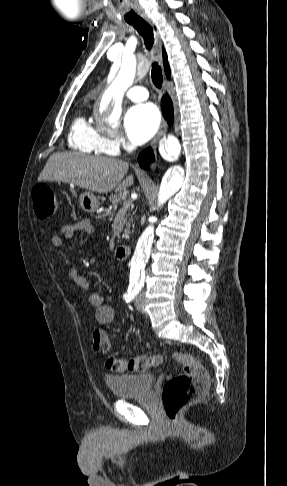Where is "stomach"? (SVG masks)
<instances>
[{"label":"stomach","instance_id":"obj_1","mask_svg":"<svg viewBox=\"0 0 287 486\" xmlns=\"http://www.w3.org/2000/svg\"><path fill=\"white\" fill-rule=\"evenodd\" d=\"M79 203L81 208L86 212H94L99 207V200L91 191H86L80 194Z\"/></svg>","mask_w":287,"mask_h":486}]
</instances>
